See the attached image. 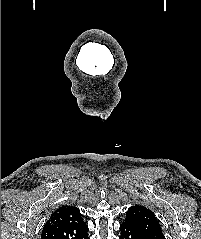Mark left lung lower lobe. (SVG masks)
<instances>
[{
	"mask_svg": "<svg viewBox=\"0 0 201 239\" xmlns=\"http://www.w3.org/2000/svg\"><path fill=\"white\" fill-rule=\"evenodd\" d=\"M120 231V239H151L147 234H145L135 226L125 222L120 225Z\"/></svg>",
	"mask_w": 201,
	"mask_h": 239,
	"instance_id": "1",
	"label": "left lung lower lobe"
}]
</instances>
